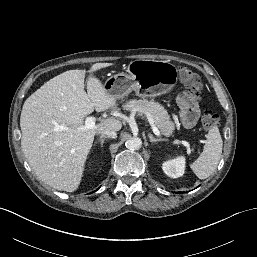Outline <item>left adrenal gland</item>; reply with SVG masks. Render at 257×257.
Instances as JSON below:
<instances>
[{
	"instance_id": "obj_1",
	"label": "left adrenal gland",
	"mask_w": 257,
	"mask_h": 257,
	"mask_svg": "<svg viewBox=\"0 0 257 257\" xmlns=\"http://www.w3.org/2000/svg\"><path fill=\"white\" fill-rule=\"evenodd\" d=\"M149 138H150V142L153 143H157V142H162V141H166L165 139L162 138H154L152 134H148Z\"/></svg>"
}]
</instances>
